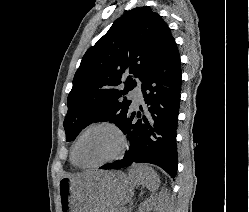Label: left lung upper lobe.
Instances as JSON below:
<instances>
[{
    "mask_svg": "<svg viewBox=\"0 0 249 212\" xmlns=\"http://www.w3.org/2000/svg\"><path fill=\"white\" fill-rule=\"evenodd\" d=\"M174 38L161 16L149 7L126 11L108 32L88 49L73 79L64 120L66 141H73L93 122L118 127L131 111L126 94L142 82ZM125 80L124 90L117 87Z\"/></svg>",
    "mask_w": 249,
    "mask_h": 212,
    "instance_id": "5c2ea615",
    "label": "left lung upper lobe"
}]
</instances>
